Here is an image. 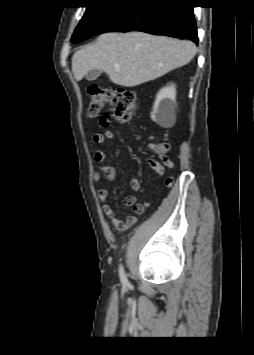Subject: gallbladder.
<instances>
[{"label":"gallbladder","mask_w":254,"mask_h":355,"mask_svg":"<svg viewBox=\"0 0 254 355\" xmlns=\"http://www.w3.org/2000/svg\"><path fill=\"white\" fill-rule=\"evenodd\" d=\"M101 73H102L101 70L92 69L86 74V79L88 81H94L100 76Z\"/></svg>","instance_id":"bac80fb5"}]
</instances>
